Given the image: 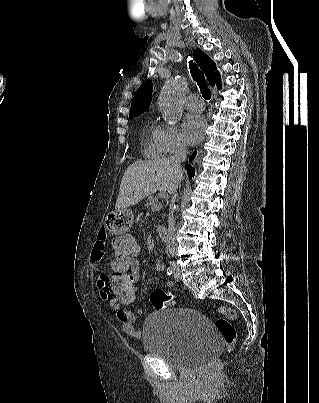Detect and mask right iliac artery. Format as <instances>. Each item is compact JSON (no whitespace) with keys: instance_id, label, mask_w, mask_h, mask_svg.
<instances>
[{"instance_id":"right-iliac-artery-1","label":"right iliac artery","mask_w":319,"mask_h":403,"mask_svg":"<svg viewBox=\"0 0 319 403\" xmlns=\"http://www.w3.org/2000/svg\"><path fill=\"white\" fill-rule=\"evenodd\" d=\"M173 273V268L172 267H168L167 268V274L171 275Z\"/></svg>"}]
</instances>
